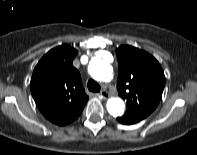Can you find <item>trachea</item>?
Wrapping results in <instances>:
<instances>
[{"mask_svg":"<svg viewBox=\"0 0 197 155\" xmlns=\"http://www.w3.org/2000/svg\"><path fill=\"white\" fill-rule=\"evenodd\" d=\"M87 87H88L89 91H91V92H99L100 91V85L92 79H90L88 81Z\"/></svg>","mask_w":197,"mask_h":155,"instance_id":"obj_1","label":"trachea"}]
</instances>
